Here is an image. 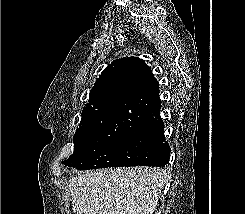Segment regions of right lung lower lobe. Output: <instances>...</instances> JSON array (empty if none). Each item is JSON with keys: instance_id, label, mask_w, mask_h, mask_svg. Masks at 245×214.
Returning a JSON list of instances; mask_svg holds the SVG:
<instances>
[{"instance_id": "right-lung-lower-lobe-1", "label": "right lung lower lobe", "mask_w": 245, "mask_h": 214, "mask_svg": "<svg viewBox=\"0 0 245 214\" xmlns=\"http://www.w3.org/2000/svg\"><path fill=\"white\" fill-rule=\"evenodd\" d=\"M160 104L159 92L141 99L140 116L133 126L127 128L128 137L117 147V167H163L168 164L171 149L165 141Z\"/></svg>"}]
</instances>
